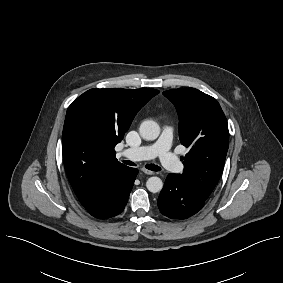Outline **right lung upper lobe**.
<instances>
[{"label": "right lung upper lobe", "mask_w": 283, "mask_h": 283, "mask_svg": "<svg viewBox=\"0 0 283 283\" xmlns=\"http://www.w3.org/2000/svg\"><path fill=\"white\" fill-rule=\"evenodd\" d=\"M156 89H90L69 106L62 134L65 170L84 207L89 206L100 183L125 167L115 158L137 112L155 95ZM79 114L89 123L83 124Z\"/></svg>", "instance_id": "1"}]
</instances>
